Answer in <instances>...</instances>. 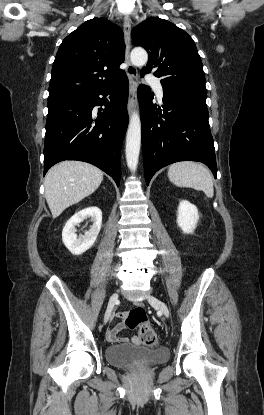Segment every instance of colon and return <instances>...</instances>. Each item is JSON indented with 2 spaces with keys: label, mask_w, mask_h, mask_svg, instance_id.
Wrapping results in <instances>:
<instances>
[{
  "label": "colon",
  "mask_w": 264,
  "mask_h": 415,
  "mask_svg": "<svg viewBox=\"0 0 264 415\" xmlns=\"http://www.w3.org/2000/svg\"><path fill=\"white\" fill-rule=\"evenodd\" d=\"M131 329H138L141 342L148 347L158 346V338L152 326L147 321V315L143 305H137L129 311L125 320Z\"/></svg>",
  "instance_id": "5ec220e1"
}]
</instances>
